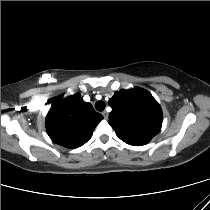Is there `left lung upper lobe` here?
<instances>
[{
    "mask_svg": "<svg viewBox=\"0 0 210 210\" xmlns=\"http://www.w3.org/2000/svg\"><path fill=\"white\" fill-rule=\"evenodd\" d=\"M109 124L125 143L141 146L162 126V111L153 96L139 88L120 90L110 99Z\"/></svg>",
    "mask_w": 210,
    "mask_h": 210,
    "instance_id": "obj_1",
    "label": "left lung upper lobe"
}]
</instances>
